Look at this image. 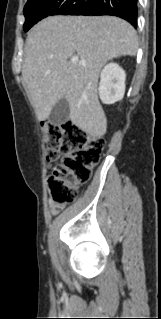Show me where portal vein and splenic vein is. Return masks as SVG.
<instances>
[{"label":"portal vein and splenic vein","instance_id":"portal-vein-and-splenic-vein-1","mask_svg":"<svg viewBox=\"0 0 161 319\" xmlns=\"http://www.w3.org/2000/svg\"><path fill=\"white\" fill-rule=\"evenodd\" d=\"M71 63L77 64V63H81V61L78 59V57H73V58H71Z\"/></svg>","mask_w":161,"mask_h":319}]
</instances>
